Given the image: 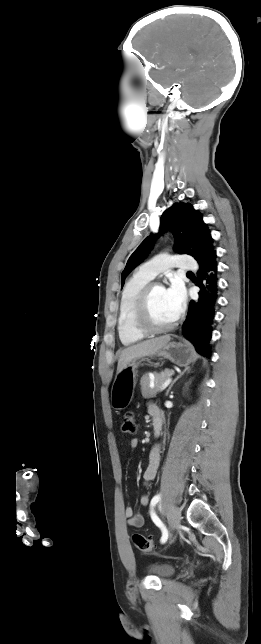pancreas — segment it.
Here are the masks:
<instances>
[{
    "label": "pancreas",
    "mask_w": 261,
    "mask_h": 644,
    "mask_svg": "<svg viewBox=\"0 0 261 644\" xmlns=\"http://www.w3.org/2000/svg\"><path fill=\"white\" fill-rule=\"evenodd\" d=\"M174 374L172 369H165L163 372H154V388L150 387L151 377L148 374L142 376L140 380L141 384V393L143 398H152L155 397L157 392L160 390L161 386L166 379L170 378Z\"/></svg>",
    "instance_id": "cf45deb5"
}]
</instances>
